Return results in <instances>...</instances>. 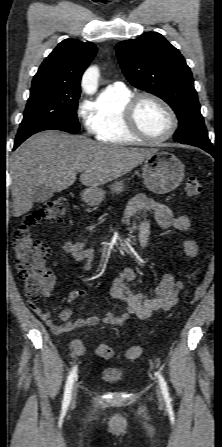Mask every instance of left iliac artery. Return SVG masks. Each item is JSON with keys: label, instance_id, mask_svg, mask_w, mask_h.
<instances>
[{"label": "left iliac artery", "instance_id": "left-iliac-artery-1", "mask_svg": "<svg viewBox=\"0 0 222 447\" xmlns=\"http://www.w3.org/2000/svg\"><path fill=\"white\" fill-rule=\"evenodd\" d=\"M156 375L158 376L159 384H160V387H161L162 394H163L164 398L167 401H170L168 387H167V384H166L164 378L162 377V375L159 372H156Z\"/></svg>", "mask_w": 222, "mask_h": 447}]
</instances>
